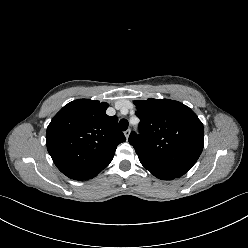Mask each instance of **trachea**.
I'll use <instances>...</instances> for the list:
<instances>
[{"instance_id": "trachea-1", "label": "trachea", "mask_w": 248, "mask_h": 248, "mask_svg": "<svg viewBox=\"0 0 248 248\" xmlns=\"http://www.w3.org/2000/svg\"><path fill=\"white\" fill-rule=\"evenodd\" d=\"M128 125H129V123H128V121H127L126 119H121V120L119 121V128H120L122 131L127 130Z\"/></svg>"}]
</instances>
